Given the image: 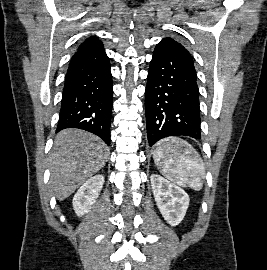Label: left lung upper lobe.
I'll use <instances>...</instances> for the list:
<instances>
[{"label": "left lung upper lobe", "mask_w": 267, "mask_h": 270, "mask_svg": "<svg viewBox=\"0 0 267 270\" xmlns=\"http://www.w3.org/2000/svg\"><path fill=\"white\" fill-rule=\"evenodd\" d=\"M165 40H171V41H174L176 42L175 40L171 39V38H165ZM178 43V42H177ZM180 44V43H179Z\"/></svg>", "instance_id": "left-lung-upper-lobe-1"}]
</instances>
